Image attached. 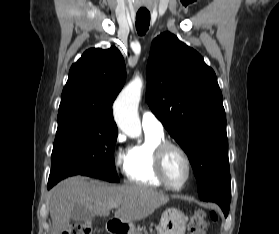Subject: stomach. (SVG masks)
<instances>
[{
  "mask_svg": "<svg viewBox=\"0 0 279 234\" xmlns=\"http://www.w3.org/2000/svg\"><path fill=\"white\" fill-rule=\"evenodd\" d=\"M188 217L179 209L169 208L161 216L157 227L158 234H185ZM127 234H138L139 231L132 223H126Z\"/></svg>",
  "mask_w": 279,
  "mask_h": 234,
  "instance_id": "1",
  "label": "stomach"
}]
</instances>
